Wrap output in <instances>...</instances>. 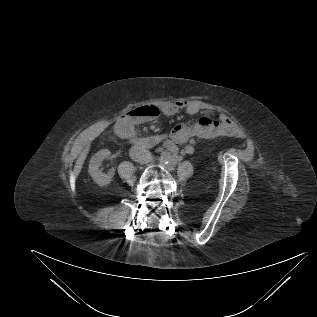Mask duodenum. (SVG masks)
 Here are the masks:
<instances>
[{
    "instance_id": "duodenum-1",
    "label": "duodenum",
    "mask_w": 317,
    "mask_h": 317,
    "mask_svg": "<svg viewBox=\"0 0 317 317\" xmlns=\"http://www.w3.org/2000/svg\"><path fill=\"white\" fill-rule=\"evenodd\" d=\"M126 120H128L127 117L123 118V121H126ZM117 133L121 136L128 138L134 146H142V147H154L158 145L164 138L163 135H159V134L148 136L146 138H137V137L130 136L124 133H120L118 130H117Z\"/></svg>"
}]
</instances>
